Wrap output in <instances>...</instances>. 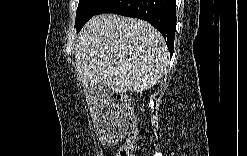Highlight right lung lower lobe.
Listing matches in <instances>:
<instances>
[{
    "mask_svg": "<svg viewBox=\"0 0 247 156\" xmlns=\"http://www.w3.org/2000/svg\"><path fill=\"white\" fill-rule=\"evenodd\" d=\"M175 0H107L97 14L114 13L143 19L163 35L173 54L176 29Z\"/></svg>",
    "mask_w": 247,
    "mask_h": 156,
    "instance_id": "98d812e1",
    "label": "right lung lower lobe"
}]
</instances>
